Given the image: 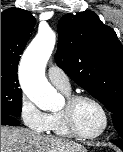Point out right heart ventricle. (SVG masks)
I'll use <instances>...</instances> for the list:
<instances>
[{
  "mask_svg": "<svg viewBox=\"0 0 123 152\" xmlns=\"http://www.w3.org/2000/svg\"><path fill=\"white\" fill-rule=\"evenodd\" d=\"M63 91V90H62ZM64 94L69 95V91H63ZM48 132L61 136V137H72V134L68 131L63 121V117L60 111L49 114V128Z\"/></svg>",
  "mask_w": 123,
  "mask_h": 152,
  "instance_id": "1",
  "label": "right heart ventricle"
}]
</instances>
